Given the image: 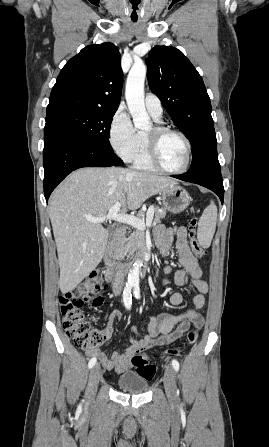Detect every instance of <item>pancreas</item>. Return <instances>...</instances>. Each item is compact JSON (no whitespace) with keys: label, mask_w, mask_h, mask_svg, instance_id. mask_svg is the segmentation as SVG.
Wrapping results in <instances>:
<instances>
[{"label":"pancreas","mask_w":269,"mask_h":447,"mask_svg":"<svg viewBox=\"0 0 269 447\" xmlns=\"http://www.w3.org/2000/svg\"><path fill=\"white\" fill-rule=\"evenodd\" d=\"M158 210H160L159 206H155L154 222H156V224H159L162 218H165L166 216L165 208H161L162 212H158ZM137 216L139 220H142V218H144L145 216V212H143V210H140ZM144 239H145L144 231H139V229L133 231L130 237H121L116 247V253H115L116 259H123L125 255H128V257L129 255H134V251H137V249H140V247H142Z\"/></svg>","instance_id":"obj_1"}]
</instances>
